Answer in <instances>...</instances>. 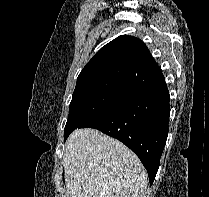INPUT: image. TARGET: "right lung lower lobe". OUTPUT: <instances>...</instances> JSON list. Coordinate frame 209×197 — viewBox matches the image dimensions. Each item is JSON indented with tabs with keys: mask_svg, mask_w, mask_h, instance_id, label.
I'll return each instance as SVG.
<instances>
[{
	"mask_svg": "<svg viewBox=\"0 0 209 197\" xmlns=\"http://www.w3.org/2000/svg\"><path fill=\"white\" fill-rule=\"evenodd\" d=\"M170 116L165 79L137 91L79 128H95L123 142L146 168L150 185L159 168Z\"/></svg>",
	"mask_w": 209,
	"mask_h": 197,
	"instance_id": "1",
	"label": "right lung lower lobe"
}]
</instances>
